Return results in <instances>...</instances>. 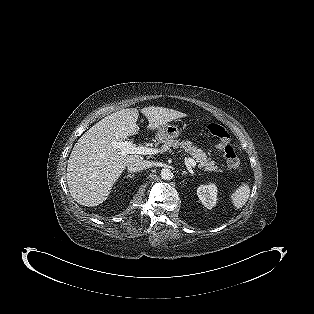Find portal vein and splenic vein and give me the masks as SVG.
I'll use <instances>...</instances> for the list:
<instances>
[{
  "mask_svg": "<svg viewBox=\"0 0 314 314\" xmlns=\"http://www.w3.org/2000/svg\"><path fill=\"white\" fill-rule=\"evenodd\" d=\"M113 147L116 149H120L121 155H128V154H138V155H154L159 152H163L162 150H157L155 148H149L145 146H136L132 142L123 141V142H117L114 141L112 143ZM186 166H190L195 168L196 167V161L190 157L185 158Z\"/></svg>",
  "mask_w": 314,
  "mask_h": 314,
  "instance_id": "18ae733b",
  "label": "portal vein and splenic vein"
}]
</instances>
